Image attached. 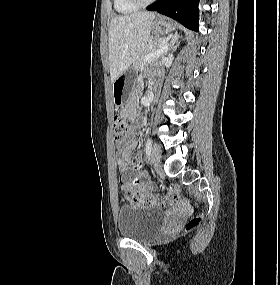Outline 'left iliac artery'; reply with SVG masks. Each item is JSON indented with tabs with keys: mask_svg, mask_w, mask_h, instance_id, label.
I'll list each match as a JSON object with an SVG mask.
<instances>
[{
	"mask_svg": "<svg viewBox=\"0 0 280 285\" xmlns=\"http://www.w3.org/2000/svg\"><path fill=\"white\" fill-rule=\"evenodd\" d=\"M151 148H152V141L150 138H148L146 142V148H145L147 157L150 156Z\"/></svg>",
	"mask_w": 280,
	"mask_h": 285,
	"instance_id": "obj_1",
	"label": "left iliac artery"
}]
</instances>
